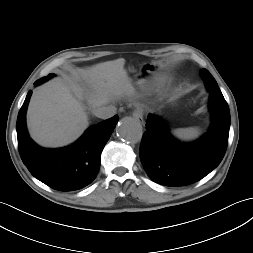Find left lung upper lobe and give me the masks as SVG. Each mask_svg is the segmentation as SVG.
I'll return each mask as SVG.
<instances>
[{
    "label": "left lung upper lobe",
    "instance_id": "1",
    "mask_svg": "<svg viewBox=\"0 0 253 253\" xmlns=\"http://www.w3.org/2000/svg\"><path fill=\"white\" fill-rule=\"evenodd\" d=\"M202 78L205 81L207 90L210 91V93H214L216 95H222L217 85V82L206 69H202Z\"/></svg>",
    "mask_w": 253,
    "mask_h": 253
}]
</instances>
